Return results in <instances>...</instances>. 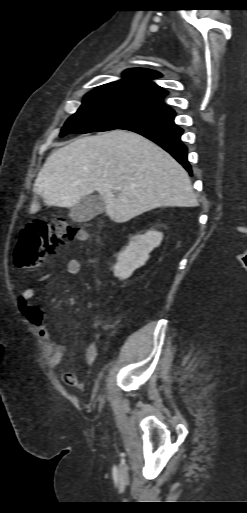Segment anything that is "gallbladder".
<instances>
[{
    "instance_id": "1",
    "label": "gallbladder",
    "mask_w": 247,
    "mask_h": 513,
    "mask_svg": "<svg viewBox=\"0 0 247 513\" xmlns=\"http://www.w3.org/2000/svg\"><path fill=\"white\" fill-rule=\"evenodd\" d=\"M104 210L103 200L99 196L89 195L71 207L69 216L75 222H87L102 214Z\"/></svg>"
}]
</instances>
